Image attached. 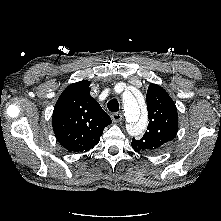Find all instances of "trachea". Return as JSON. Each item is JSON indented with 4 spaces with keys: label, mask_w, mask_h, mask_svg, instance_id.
<instances>
[{
    "label": "trachea",
    "mask_w": 221,
    "mask_h": 221,
    "mask_svg": "<svg viewBox=\"0 0 221 221\" xmlns=\"http://www.w3.org/2000/svg\"><path fill=\"white\" fill-rule=\"evenodd\" d=\"M107 107L111 112H117L119 110V103L117 99H112L107 103Z\"/></svg>",
    "instance_id": "obj_1"
}]
</instances>
